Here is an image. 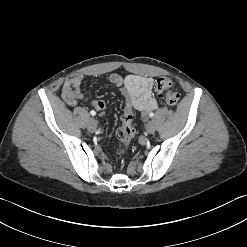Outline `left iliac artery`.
<instances>
[{
    "label": "left iliac artery",
    "instance_id": "1",
    "mask_svg": "<svg viewBox=\"0 0 247 247\" xmlns=\"http://www.w3.org/2000/svg\"><path fill=\"white\" fill-rule=\"evenodd\" d=\"M149 116H150V117H153V116H154V113H153V112H151V113L149 114Z\"/></svg>",
    "mask_w": 247,
    "mask_h": 247
}]
</instances>
